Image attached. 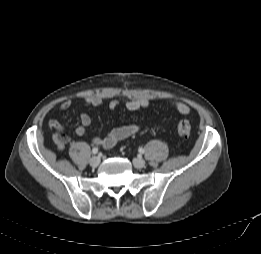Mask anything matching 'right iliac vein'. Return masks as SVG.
<instances>
[{"instance_id": "63e3f726", "label": "right iliac vein", "mask_w": 261, "mask_h": 254, "mask_svg": "<svg viewBox=\"0 0 261 254\" xmlns=\"http://www.w3.org/2000/svg\"><path fill=\"white\" fill-rule=\"evenodd\" d=\"M89 163L92 167L96 168L100 164V157L99 156L91 157Z\"/></svg>"}]
</instances>
